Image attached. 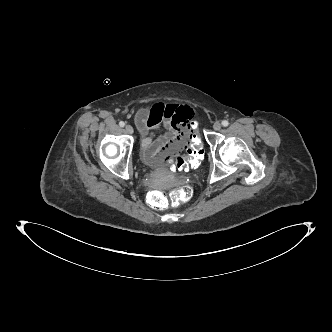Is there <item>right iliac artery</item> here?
Instances as JSON below:
<instances>
[{"label":"right iliac artery","mask_w":332,"mask_h":332,"mask_svg":"<svg viewBox=\"0 0 332 332\" xmlns=\"http://www.w3.org/2000/svg\"><path fill=\"white\" fill-rule=\"evenodd\" d=\"M119 125H120L121 127H124V126H125V123H124L123 121H121V122H119Z\"/></svg>","instance_id":"82829eb1"}]
</instances>
